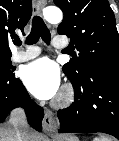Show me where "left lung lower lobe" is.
I'll return each instance as SVG.
<instances>
[{
    "mask_svg": "<svg viewBox=\"0 0 119 141\" xmlns=\"http://www.w3.org/2000/svg\"><path fill=\"white\" fill-rule=\"evenodd\" d=\"M71 83L74 102L58 111L59 132H103L119 139V72L92 73Z\"/></svg>",
    "mask_w": 119,
    "mask_h": 141,
    "instance_id": "left-lung-lower-lobe-1",
    "label": "left lung lower lobe"
}]
</instances>
